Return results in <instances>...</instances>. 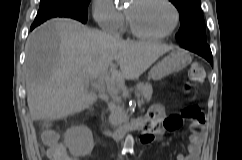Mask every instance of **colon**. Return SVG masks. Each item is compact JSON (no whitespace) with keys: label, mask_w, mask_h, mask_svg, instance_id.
Listing matches in <instances>:
<instances>
[{"label":"colon","mask_w":242,"mask_h":160,"mask_svg":"<svg viewBox=\"0 0 242 160\" xmlns=\"http://www.w3.org/2000/svg\"><path fill=\"white\" fill-rule=\"evenodd\" d=\"M205 71L200 63H193L189 68V80L185 84V90L189 92L194 84L204 80ZM183 116L191 120L194 125L200 124L203 115L195 104H188L183 109ZM42 141L47 147V154L51 160H66L67 152L59 142V135L53 130H47L42 136Z\"/></svg>","instance_id":"5ec220e1"}]
</instances>
